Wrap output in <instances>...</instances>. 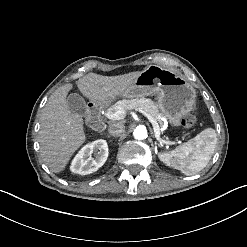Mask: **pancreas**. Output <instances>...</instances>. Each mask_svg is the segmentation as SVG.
<instances>
[{"label":"pancreas","mask_w":247,"mask_h":247,"mask_svg":"<svg viewBox=\"0 0 247 247\" xmlns=\"http://www.w3.org/2000/svg\"><path fill=\"white\" fill-rule=\"evenodd\" d=\"M119 108H122L125 111L141 108L142 110L152 115L156 119L160 115L158 104L153 102L151 99L144 98V97L136 98V99H129V100L124 99V100L118 101L114 105L110 106L106 110V113L116 112ZM159 123L161 124L162 122L159 121Z\"/></svg>","instance_id":"cf45deb5"}]
</instances>
